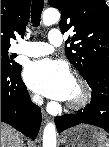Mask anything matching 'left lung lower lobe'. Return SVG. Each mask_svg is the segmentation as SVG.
<instances>
[{
  "label": "left lung lower lobe",
  "instance_id": "0a47b994",
  "mask_svg": "<svg viewBox=\"0 0 109 147\" xmlns=\"http://www.w3.org/2000/svg\"><path fill=\"white\" fill-rule=\"evenodd\" d=\"M92 89L91 103L83 112L55 118L58 132L81 123L94 125L109 133V67H96L87 79Z\"/></svg>",
  "mask_w": 109,
  "mask_h": 147
}]
</instances>
